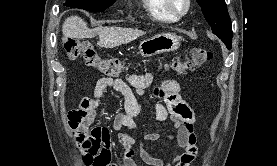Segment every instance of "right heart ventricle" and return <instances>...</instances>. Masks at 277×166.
Returning a JSON list of instances; mask_svg holds the SVG:
<instances>
[{
  "mask_svg": "<svg viewBox=\"0 0 277 166\" xmlns=\"http://www.w3.org/2000/svg\"><path fill=\"white\" fill-rule=\"evenodd\" d=\"M148 14L157 21L174 22L176 18L165 8L163 0H142Z\"/></svg>",
  "mask_w": 277,
  "mask_h": 166,
  "instance_id": "right-heart-ventricle-1",
  "label": "right heart ventricle"
}]
</instances>
